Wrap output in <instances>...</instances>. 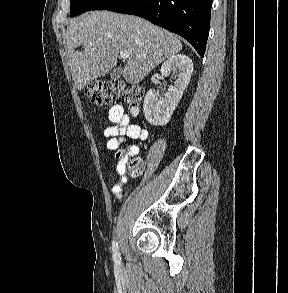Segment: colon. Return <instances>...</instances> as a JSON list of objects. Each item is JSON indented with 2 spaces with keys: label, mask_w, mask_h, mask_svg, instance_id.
<instances>
[{
  "label": "colon",
  "mask_w": 288,
  "mask_h": 293,
  "mask_svg": "<svg viewBox=\"0 0 288 293\" xmlns=\"http://www.w3.org/2000/svg\"><path fill=\"white\" fill-rule=\"evenodd\" d=\"M144 92L136 85H128L121 81L103 82L94 80L88 84V96L95 104H109L123 102L132 114L139 110ZM125 156L123 151H118L117 158ZM142 169V161L139 158L130 160L127 170L131 175H136Z\"/></svg>",
  "instance_id": "colon-1"
}]
</instances>
